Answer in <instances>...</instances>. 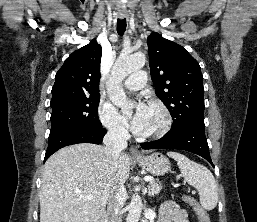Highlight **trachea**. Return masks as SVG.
Segmentation results:
<instances>
[{
	"mask_svg": "<svg viewBox=\"0 0 257 222\" xmlns=\"http://www.w3.org/2000/svg\"><path fill=\"white\" fill-rule=\"evenodd\" d=\"M126 19H118L117 20V32L120 36H122L126 30Z\"/></svg>",
	"mask_w": 257,
	"mask_h": 222,
	"instance_id": "obj_1",
	"label": "trachea"
}]
</instances>
